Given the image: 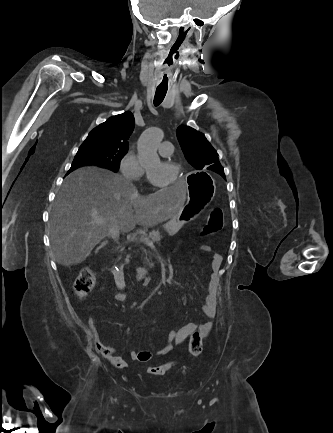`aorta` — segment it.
Returning a JSON list of instances; mask_svg holds the SVG:
<instances>
[{
  "label": "aorta",
  "instance_id": "aorta-1",
  "mask_svg": "<svg viewBox=\"0 0 333 433\" xmlns=\"http://www.w3.org/2000/svg\"><path fill=\"white\" fill-rule=\"evenodd\" d=\"M163 138V131L157 127L148 128L142 133L138 142V160L143 167L160 164L157 147Z\"/></svg>",
  "mask_w": 333,
  "mask_h": 433
}]
</instances>
